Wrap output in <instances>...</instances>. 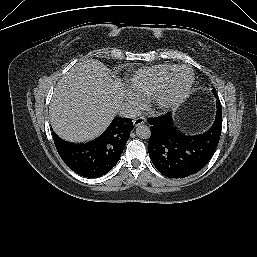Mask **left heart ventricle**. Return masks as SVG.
Returning a JSON list of instances; mask_svg holds the SVG:
<instances>
[{
    "instance_id": "obj_1",
    "label": "left heart ventricle",
    "mask_w": 257,
    "mask_h": 257,
    "mask_svg": "<svg viewBox=\"0 0 257 257\" xmlns=\"http://www.w3.org/2000/svg\"><path fill=\"white\" fill-rule=\"evenodd\" d=\"M189 77V73L186 71L175 74L169 83V91L171 93L180 91L188 83Z\"/></svg>"
}]
</instances>
